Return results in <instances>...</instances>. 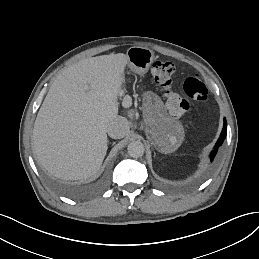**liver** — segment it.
<instances>
[{"label": "liver", "mask_w": 259, "mask_h": 259, "mask_svg": "<svg viewBox=\"0 0 259 259\" xmlns=\"http://www.w3.org/2000/svg\"><path fill=\"white\" fill-rule=\"evenodd\" d=\"M125 54L87 58L60 72L40 107L32 135L39 165L56 177L95 174L106 155L107 128L118 117ZM124 108H127L124 102Z\"/></svg>", "instance_id": "liver-1"}]
</instances>
